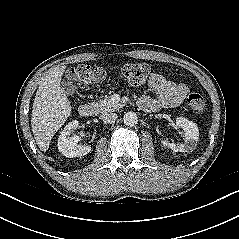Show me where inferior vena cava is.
Segmentation results:
<instances>
[{"instance_id":"1","label":"inferior vena cava","mask_w":239,"mask_h":239,"mask_svg":"<svg viewBox=\"0 0 239 239\" xmlns=\"http://www.w3.org/2000/svg\"><path fill=\"white\" fill-rule=\"evenodd\" d=\"M118 118L116 113L113 112H103L100 116V119L105 122L112 124L115 122V120Z\"/></svg>"}]
</instances>
